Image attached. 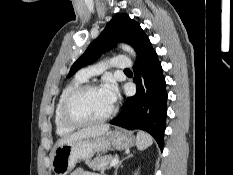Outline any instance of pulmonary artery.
Instances as JSON below:
<instances>
[{"mask_svg":"<svg viewBox=\"0 0 233 175\" xmlns=\"http://www.w3.org/2000/svg\"><path fill=\"white\" fill-rule=\"evenodd\" d=\"M106 65H111L118 69H128L132 66V62L124 55H115L112 59L106 62H101V63L81 69L78 72L77 77L83 80H87L92 75L101 73L104 70Z\"/></svg>","mask_w":233,"mask_h":175,"instance_id":"1","label":"pulmonary artery"}]
</instances>
